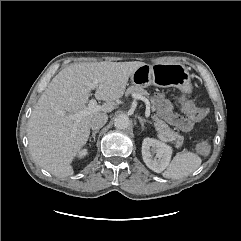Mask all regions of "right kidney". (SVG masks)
Wrapping results in <instances>:
<instances>
[{
	"instance_id": "obj_1",
	"label": "right kidney",
	"mask_w": 241,
	"mask_h": 241,
	"mask_svg": "<svg viewBox=\"0 0 241 241\" xmlns=\"http://www.w3.org/2000/svg\"><path fill=\"white\" fill-rule=\"evenodd\" d=\"M86 154H87V150L84 149V150H82V151L79 152V157H83V156H85Z\"/></svg>"
}]
</instances>
